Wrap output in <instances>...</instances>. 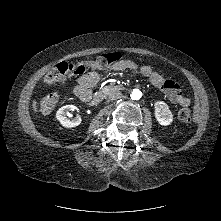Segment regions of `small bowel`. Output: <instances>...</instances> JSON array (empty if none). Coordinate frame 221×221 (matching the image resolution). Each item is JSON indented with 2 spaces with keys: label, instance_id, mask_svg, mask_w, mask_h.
I'll list each match as a JSON object with an SVG mask.
<instances>
[{
  "label": "small bowel",
  "instance_id": "1",
  "mask_svg": "<svg viewBox=\"0 0 221 221\" xmlns=\"http://www.w3.org/2000/svg\"><path fill=\"white\" fill-rule=\"evenodd\" d=\"M113 69L116 71L135 70L137 69V66L133 62L127 61L117 63ZM140 73L146 77L153 86L166 94L172 103L178 104L182 107H188L190 105V100L184 96L179 85L174 81L165 79L148 65L140 67ZM99 80L100 75L97 72H89L85 74L79 78L77 85L74 88V93L80 99L85 101L92 95L91 88L94 87Z\"/></svg>",
  "mask_w": 221,
  "mask_h": 221
}]
</instances>
